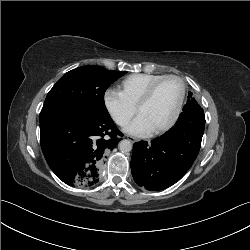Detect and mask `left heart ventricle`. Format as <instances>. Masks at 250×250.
<instances>
[{"label":"left heart ventricle","instance_id":"1","mask_svg":"<svg viewBox=\"0 0 250 250\" xmlns=\"http://www.w3.org/2000/svg\"><path fill=\"white\" fill-rule=\"evenodd\" d=\"M180 92L181 85L177 80H165L157 87L152 98L140 109L139 115L145 119L151 131L161 127L171 118Z\"/></svg>","mask_w":250,"mask_h":250}]
</instances>
